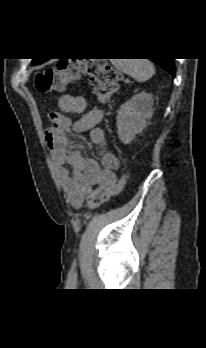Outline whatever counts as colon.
I'll use <instances>...</instances> for the list:
<instances>
[{
	"label": "colon",
	"mask_w": 206,
	"mask_h": 348,
	"mask_svg": "<svg viewBox=\"0 0 206 348\" xmlns=\"http://www.w3.org/2000/svg\"><path fill=\"white\" fill-rule=\"evenodd\" d=\"M82 74L89 76L93 93L101 102H106L116 92L118 74L116 70L103 59H60L55 66L39 71L35 77V88L39 93L57 91L67 83L77 80ZM126 174H122L113 185H100L89 196L87 206L97 208L109 201L122 190Z\"/></svg>",
	"instance_id": "1"
}]
</instances>
